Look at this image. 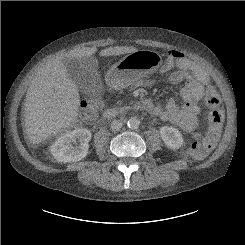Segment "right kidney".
I'll return each mask as SVG.
<instances>
[{"mask_svg": "<svg viewBox=\"0 0 245 245\" xmlns=\"http://www.w3.org/2000/svg\"><path fill=\"white\" fill-rule=\"evenodd\" d=\"M91 137L90 130L85 128L70 131L53 143L50 152L58 162L80 161L88 154Z\"/></svg>", "mask_w": 245, "mask_h": 245, "instance_id": "obj_1", "label": "right kidney"}]
</instances>
